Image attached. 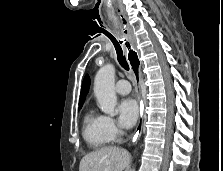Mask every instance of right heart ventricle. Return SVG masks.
<instances>
[{
	"instance_id": "e07e8e85",
	"label": "right heart ventricle",
	"mask_w": 223,
	"mask_h": 171,
	"mask_svg": "<svg viewBox=\"0 0 223 171\" xmlns=\"http://www.w3.org/2000/svg\"><path fill=\"white\" fill-rule=\"evenodd\" d=\"M83 137L92 148H102L110 143L103 126V116L88 110L83 119Z\"/></svg>"
}]
</instances>
